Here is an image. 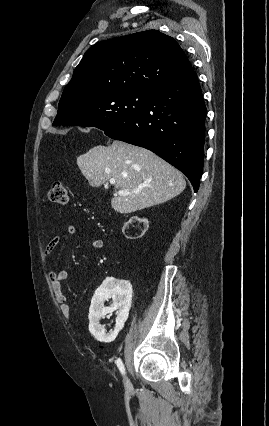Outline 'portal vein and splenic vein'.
<instances>
[{"label": "portal vein and splenic vein", "instance_id": "1", "mask_svg": "<svg viewBox=\"0 0 269 426\" xmlns=\"http://www.w3.org/2000/svg\"><path fill=\"white\" fill-rule=\"evenodd\" d=\"M109 182H110V184H115V179H110ZM129 194H130V192H128L126 190H119L118 191V195H121V196H127Z\"/></svg>", "mask_w": 269, "mask_h": 426}]
</instances>
